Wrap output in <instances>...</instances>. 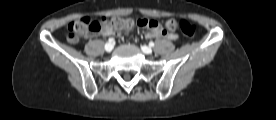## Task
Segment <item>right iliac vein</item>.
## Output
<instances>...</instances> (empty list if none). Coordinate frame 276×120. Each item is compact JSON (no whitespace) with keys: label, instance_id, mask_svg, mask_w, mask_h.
Wrapping results in <instances>:
<instances>
[{"label":"right iliac vein","instance_id":"63e3f726","mask_svg":"<svg viewBox=\"0 0 276 120\" xmlns=\"http://www.w3.org/2000/svg\"><path fill=\"white\" fill-rule=\"evenodd\" d=\"M113 47H114V45H113L112 43H107V44H105V50H106L107 52H111L112 49H113Z\"/></svg>","mask_w":276,"mask_h":120}]
</instances>
